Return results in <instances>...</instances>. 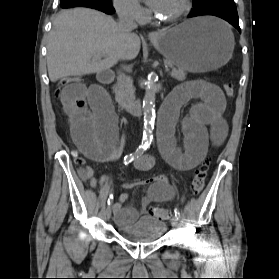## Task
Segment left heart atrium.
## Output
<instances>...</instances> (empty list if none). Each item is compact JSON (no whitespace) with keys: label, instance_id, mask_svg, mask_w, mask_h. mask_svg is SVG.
Masks as SVG:
<instances>
[{"label":"left heart atrium","instance_id":"39dd6f15","mask_svg":"<svg viewBox=\"0 0 279 279\" xmlns=\"http://www.w3.org/2000/svg\"><path fill=\"white\" fill-rule=\"evenodd\" d=\"M160 1L161 0H146V2L148 3V5L156 12V10L158 9L159 5H160Z\"/></svg>","mask_w":279,"mask_h":279}]
</instances>
